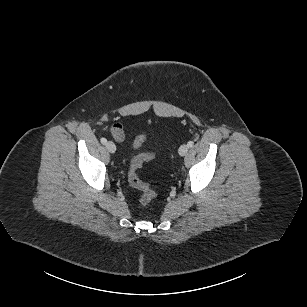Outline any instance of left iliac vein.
<instances>
[{
    "label": "left iliac vein",
    "mask_w": 307,
    "mask_h": 307,
    "mask_svg": "<svg viewBox=\"0 0 307 307\" xmlns=\"http://www.w3.org/2000/svg\"><path fill=\"white\" fill-rule=\"evenodd\" d=\"M188 149H189L188 145H186V144L181 145L180 148H179V155L185 156L186 153L188 152Z\"/></svg>",
    "instance_id": "obj_1"
}]
</instances>
